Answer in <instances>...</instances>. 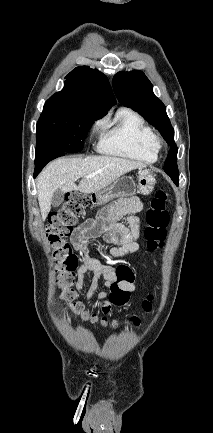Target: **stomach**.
Returning a JSON list of instances; mask_svg holds the SVG:
<instances>
[{"label":"stomach","mask_w":213,"mask_h":433,"mask_svg":"<svg viewBox=\"0 0 213 433\" xmlns=\"http://www.w3.org/2000/svg\"><path fill=\"white\" fill-rule=\"evenodd\" d=\"M155 176L147 169L139 171L137 180L131 176L118 178L113 184L91 193L93 205L102 206L115 198H127L135 194L149 195L155 186Z\"/></svg>","instance_id":"0dacf381"}]
</instances>
